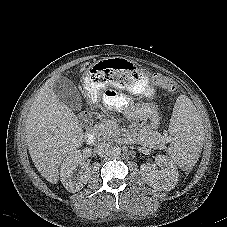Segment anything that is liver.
Returning a JSON list of instances; mask_svg holds the SVG:
<instances>
[{
  "mask_svg": "<svg viewBox=\"0 0 227 227\" xmlns=\"http://www.w3.org/2000/svg\"><path fill=\"white\" fill-rule=\"evenodd\" d=\"M59 76L48 79L29 109L25 132L31 159L39 173L52 184L59 181V167L83 143L77 116L53 90Z\"/></svg>",
  "mask_w": 227,
  "mask_h": 227,
  "instance_id": "obj_1",
  "label": "liver"
}]
</instances>
